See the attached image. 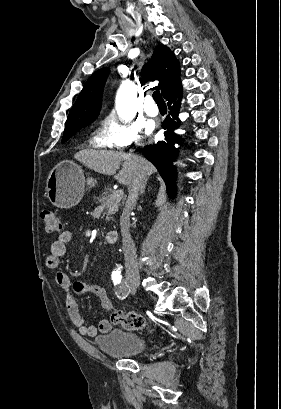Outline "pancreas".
I'll list each match as a JSON object with an SVG mask.
<instances>
[{
	"label": "pancreas",
	"mask_w": 281,
	"mask_h": 409,
	"mask_svg": "<svg viewBox=\"0 0 281 409\" xmlns=\"http://www.w3.org/2000/svg\"><path fill=\"white\" fill-rule=\"evenodd\" d=\"M112 195H113V190L109 188L108 192H102V196H99L98 200L102 202V205H106L107 200H110ZM117 211H118L117 208H113L112 215H114V213H117ZM105 221H110V217H106Z\"/></svg>",
	"instance_id": "pancreas-1"
}]
</instances>
